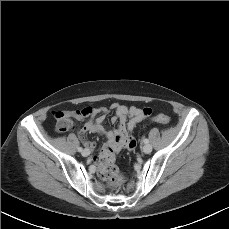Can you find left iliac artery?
<instances>
[{"label":"left iliac artery","instance_id":"1","mask_svg":"<svg viewBox=\"0 0 229 229\" xmlns=\"http://www.w3.org/2000/svg\"><path fill=\"white\" fill-rule=\"evenodd\" d=\"M143 142H144V143H148L149 140H148L147 138H145V139H143Z\"/></svg>","mask_w":229,"mask_h":229}]
</instances>
